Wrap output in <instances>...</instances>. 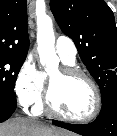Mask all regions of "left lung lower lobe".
I'll list each match as a JSON object with an SVG mask.
<instances>
[{"mask_svg": "<svg viewBox=\"0 0 117 136\" xmlns=\"http://www.w3.org/2000/svg\"><path fill=\"white\" fill-rule=\"evenodd\" d=\"M53 123L84 136H117V92L102 102L99 116L89 124Z\"/></svg>", "mask_w": 117, "mask_h": 136, "instance_id": "obj_1", "label": "left lung lower lobe"}]
</instances>
